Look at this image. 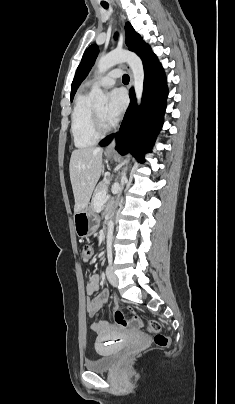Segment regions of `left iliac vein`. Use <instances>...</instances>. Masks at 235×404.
Masks as SVG:
<instances>
[{"instance_id": "left-iliac-vein-1", "label": "left iliac vein", "mask_w": 235, "mask_h": 404, "mask_svg": "<svg viewBox=\"0 0 235 404\" xmlns=\"http://www.w3.org/2000/svg\"><path fill=\"white\" fill-rule=\"evenodd\" d=\"M106 276H107V279H108L109 283H110L113 287H117L119 281H118V278H117V276L115 275V273H114V271H113V269H112L111 266H108V267H107V269H106Z\"/></svg>"}]
</instances>
